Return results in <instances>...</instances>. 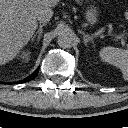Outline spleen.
<instances>
[{
    "instance_id": "obj_1",
    "label": "spleen",
    "mask_w": 128,
    "mask_h": 128,
    "mask_svg": "<svg viewBox=\"0 0 128 128\" xmlns=\"http://www.w3.org/2000/svg\"><path fill=\"white\" fill-rule=\"evenodd\" d=\"M100 57L104 62L119 67L123 78L128 81V50L104 47L100 50Z\"/></svg>"
}]
</instances>
